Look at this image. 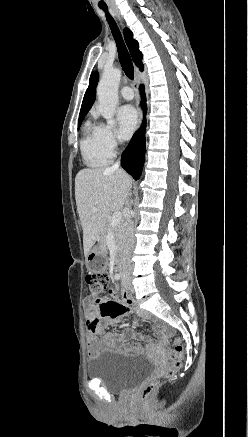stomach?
I'll list each match as a JSON object with an SVG mask.
<instances>
[{"label": "stomach", "mask_w": 248, "mask_h": 437, "mask_svg": "<svg viewBox=\"0 0 248 437\" xmlns=\"http://www.w3.org/2000/svg\"><path fill=\"white\" fill-rule=\"evenodd\" d=\"M88 272H107V258L102 249H93L86 256Z\"/></svg>", "instance_id": "1"}]
</instances>
